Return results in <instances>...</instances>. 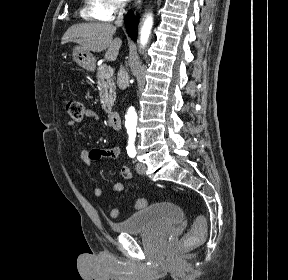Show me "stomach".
Listing matches in <instances>:
<instances>
[{
	"mask_svg": "<svg viewBox=\"0 0 288 280\" xmlns=\"http://www.w3.org/2000/svg\"><path fill=\"white\" fill-rule=\"evenodd\" d=\"M73 58L74 61L82 68L87 70H93L95 67V57L83 49L80 45L73 48Z\"/></svg>",
	"mask_w": 288,
	"mask_h": 280,
	"instance_id": "0dacf381",
	"label": "stomach"
}]
</instances>
